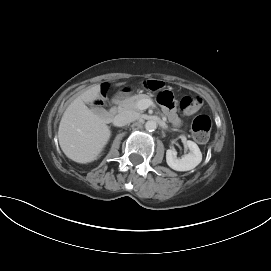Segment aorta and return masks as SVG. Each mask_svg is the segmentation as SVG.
I'll return each instance as SVG.
<instances>
[{"instance_id": "aorta-1", "label": "aorta", "mask_w": 271, "mask_h": 271, "mask_svg": "<svg viewBox=\"0 0 271 271\" xmlns=\"http://www.w3.org/2000/svg\"><path fill=\"white\" fill-rule=\"evenodd\" d=\"M157 128V123L154 120H149L145 123V129L148 131H154Z\"/></svg>"}]
</instances>
